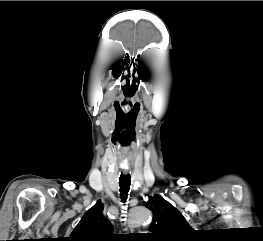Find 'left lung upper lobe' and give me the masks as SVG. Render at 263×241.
Listing matches in <instances>:
<instances>
[{
  "mask_svg": "<svg viewBox=\"0 0 263 241\" xmlns=\"http://www.w3.org/2000/svg\"><path fill=\"white\" fill-rule=\"evenodd\" d=\"M144 205L152 210L148 237L154 241H190L194 230L184 216L160 195L149 197Z\"/></svg>",
  "mask_w": 263,
  "mask_h": 241,
  "instance_id": "obj_1",
  "label": "left lung upper lobe"
}]
</instances>
